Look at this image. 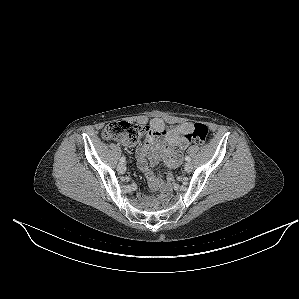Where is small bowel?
<instances>
[{"label": "small bowel", "mask_w": 299, "mask_h": 299, "mask_svg": "<svg viewBox=\"0 0 299 299\" xmlns=\"http://www.w3.org/2000/svg\"><path fill=\"white\" fill-rule=\"evenodd\" d=\"M192 128L193 124L190 122L167 127L160 118L150 120L147 138L137 147V161L153 190L161 187L162 181L154 174L151 165L161 160L169 168L178 167L182 162L181 151L190 144L187 134ZM120 143L125 147L133 145L127 140H120Z\"/></svg>", "instance_id": "small-bowel-1"}]
</instances>
